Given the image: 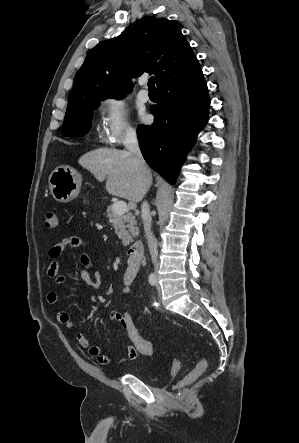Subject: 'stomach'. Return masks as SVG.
<instances>
[{
    "instance_id": "obj_1",
    "label": "stomach",
    "mask_w": 299,
    "mask_h": 443,
    "mask_svg": "<svg viewBox=\"0 0 299 443\" xmlns=\"http://www.w3.org/2000/svg\"><path fill=\"white\" fill-rule=\"evenodd\" d=\"M82 176L74 168L59 166L49 176V188L53 198L60 203H67L80 192Z\"/></svg>"
}]
</instances>
